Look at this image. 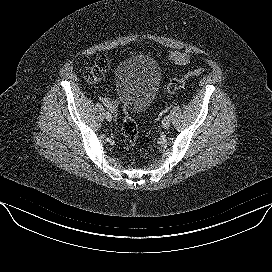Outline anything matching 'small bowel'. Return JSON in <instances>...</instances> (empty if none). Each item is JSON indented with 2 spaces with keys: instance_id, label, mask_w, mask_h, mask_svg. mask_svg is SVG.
Masks as SVG:
<instances>
[{
  "instance_id": "1",
  "label": "small bowel",
  "mask_w": 272,
  "mask_h": 272,
  "mask_svg": "<svg viewBox=\"0 0 272 272\" xmlns=\"http://www.w3.org/2000/svg\"><path fill=\"white\" fill-rule=\"evenodd\" d=\"M168 58L177 65H187L191 62V57L187 53L171 52Z\"/></svg>"
}]
</instances>
